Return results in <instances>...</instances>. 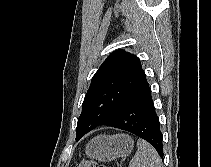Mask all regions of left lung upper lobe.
Segmentation results:
<instances>
[{
    "label": "left lung upper lobe",
    "instance_id": "obj_1",
    "mask_svg": "<svg viewBox=\"0 0 211 167\" xmlns=\"http://www.w3.org/2000/svg\"><path fill=\"white\" fill-rule=\"evenodd\" d=\"M148 85L137 56L123 50L111 53L92 77L78 118L76 140L107 123Z\"/></svg>",
    "mask_w": 211,
    "mask_h": 167
}]
</instances>
